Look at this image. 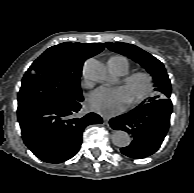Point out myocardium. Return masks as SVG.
<instances>
[{"label": "myocardium", "mask_w": 194, "mask_h": 193, "mask_svg": "<svg viewBox=\"0 0 194 193\" xmlns=\"http://www.w3.org/2000/svg\"><path fill=\"white\" fill-rule=\"evenodd\" d=\"M135 80L143 81V89L135 98L128 101V105L130 107H134L143 102L151 95L154 88V80L152 75L145 71H136L126 75L122 80V84L123 86H127Z\"/></svg>", "instance_id": "1"}]
</instances>
